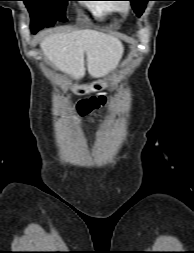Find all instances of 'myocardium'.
<instances>
[{
	"mask_svg": "<svg viewBox=\"0 0 194 253\" xmlns=\"http://www.w3.org/2000/svg\"><path fill=\"white\" fill-rule=\"evenodd\" d=\"M118 10L121 14L127 15L130 13L132 6L130 2H119L117 3Z\"/></svg>",
	"mask_w": 194,
	"mask_h": 253,
	"instance_id": "1",
	"label": "myocardium"
}]
</instances>
